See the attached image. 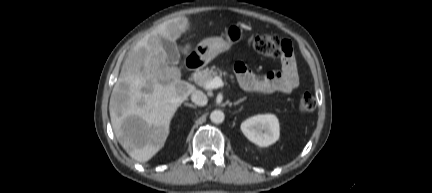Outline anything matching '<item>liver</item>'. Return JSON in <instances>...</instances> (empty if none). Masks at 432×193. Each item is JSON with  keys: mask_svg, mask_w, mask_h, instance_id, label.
<instances>
[{"mask_svg": "<svg viewBox=\"0 0 432 193\" xmlns=\"http://www.w3.org/2000/svg\"><path fill=\"white\" fill-rule=\"evenodd\" d=\"M189 27V19L179 16L145 35L129 53L113 88L109 112L114 134L138 162H147L164 146L175 112L195 91L181 80L180 69L167 65L161 43V38L175 42ZM188 49L186 45L182 52Z\"/></svg>", "mask_w": 432, "mask_h": 193, "instance_id": "obj_1", "label": "liver"}]
</instances>
